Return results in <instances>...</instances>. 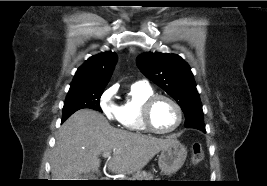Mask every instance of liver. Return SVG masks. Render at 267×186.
<instances>
[{
	"label": "liver",
	"mask_w": 267,
	"mask_h": 186,
	"mask_svg": "<svg viewBox=\"0 0 267 186\" xmlns=\"http://www.w3.org/2000/svg\"><path fill=\"white\" fill-rule=\"evenodd\" d=\"M175 141L112 127L99 112L82 109L67 119L59 130L51 159L53 180H79L85 173L98 171L99 155L112 152L108 169L132 174L162 149Z\"/></svg>",
	"instance_id": "6515ba94"
}]
</instances>
